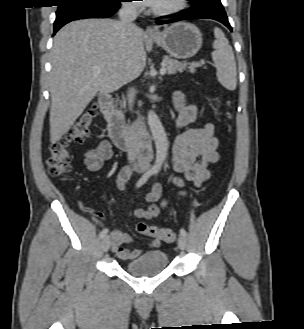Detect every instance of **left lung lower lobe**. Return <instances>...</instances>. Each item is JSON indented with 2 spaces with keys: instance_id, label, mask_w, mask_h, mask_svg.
<instances>
[{
  "instance_id": "1",
  "label": "left lung lower lobe",
  "mask_w": 304,
  "mask_h": 329,
  "mask_svg": "<svg viewBox=\"0 0 304 329\" xmlns=\"http://www.w3.org/2000/svg\"><path fill=\"white\" fill-rule=\"evenodd\" d=\"M192 6L189 10L179 12L178 17L170 20L158 21L157 24H167L181 20L209 18L217 20L227 26L230 31L232 28L228 22L227 15L220 0H190Z\"/></svg>"
}]
</instances>
